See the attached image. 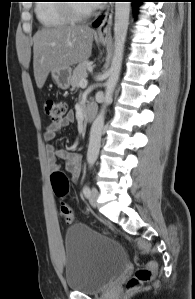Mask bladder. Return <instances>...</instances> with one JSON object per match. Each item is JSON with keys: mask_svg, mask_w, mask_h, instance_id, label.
Masks as SVG:
<instances>
[{"mask_svg": "<svg viewBox=\"0 0 195 299\" xmlns=\"http://www.w3.org/2000/svg\"><path fill=\"white\" fill-rule=\"evenodd\" d=\"M64 250L66 285L75 292L96 293L127 265V255L117 241L82 224L67 230Z\"/></svg>", "mask_w": 195, "mask_h": 299, "instance_id": "31cf9c89", "label": "bladder"}]
</instances>
